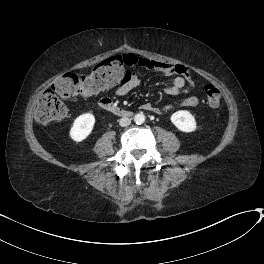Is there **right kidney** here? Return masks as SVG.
<instances>
[{
  "mask_svg": "<svg viewBox=\"0 0 264 264\" xmlns=\"http://www.w3.org/2000/svg\"><path fill=\"white\" fill-rule=\"evenodd\" d=\"M95 117L91 113H85L77 117L70 129L69 135L75 142L86 139L93 130Z\"/></svg>",
  "mask_w": 264,
  "mask_h": 264,
  "instance_id": "obj_1",
  "label": "right kidney"
}]
</instances>
